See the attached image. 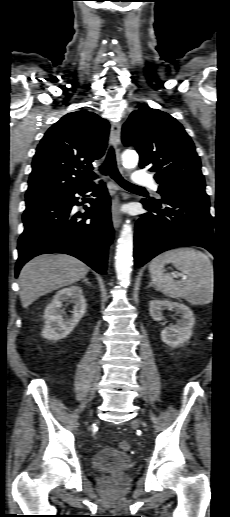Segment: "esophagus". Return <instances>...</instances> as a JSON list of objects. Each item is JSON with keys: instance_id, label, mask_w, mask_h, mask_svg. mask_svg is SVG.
<instances>
[{"instance_id": "esophagus-1", "label": "esophagus", "mask_w": 230, "mask_h": 517, "mask_svg": "<svg viewBox=\"0 0 230 517\" xmlns=\"http://www.w3.org/2000/svg\"><path fill=\"white\" fill-rule=\"evenodd\" d=\"M120 135H121V124L119 122H113L111 125V144L115 149V153L117 156V159L120 158ZM112 187L115 192L118 191V187L112 183ZM111 215H112V222L114 227L117 229L121 225L122 217L120 212V197L118 194H115L112 199V206H111Z\"/></svg>"}]
</instances>
